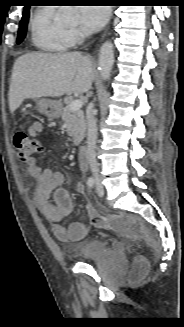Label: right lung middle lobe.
I'll return each mask as SVG.
<instances>
[{
    "label": "right lung middle lobe",
    "instance_id": "1",
    "mask_svg": "<svg viewBox=\"0 0 184 327\" xmlns=\"http://www.w3.org/2000/svg\"><path fill=\"white\" fill-rule=\"evenodd\" d=\"M29 11L23 13L22 19L20 21L19 24V32H18V36H17V43L20 44L25 36H26V29H27V24H28V20H29Z\"/></svg>",
    "mask_w": 184,
    "mask_h": 327
}]
</instances>
